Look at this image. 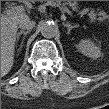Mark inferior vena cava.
Instances as JSON below:
<instances>
[{"mask_svg":"<svg viewBox=\"0 0 109 109\" xmlns=\"http://www.w3.org/2000/svg\"><path fill=\"white\" fill-rule=\"evenodd\" d=\"M35 27V22L30 19H25L19 23V28L30 30Z\"/></svg>","mask_w":109,"mask_h":109,"instance_id":"602c4592","label":"inferior vena cava"}]
</instances>
